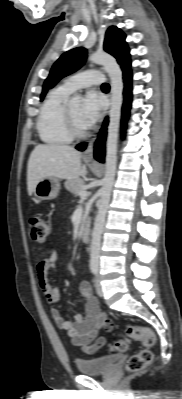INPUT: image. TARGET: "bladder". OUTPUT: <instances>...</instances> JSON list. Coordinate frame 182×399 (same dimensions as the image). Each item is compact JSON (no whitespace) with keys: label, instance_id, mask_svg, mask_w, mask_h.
Segmentation results:
<instances>
[{"label":"bladder","instance_id":"31cf9c89","mask_svg":"<svg viewBox=\"0 0 182 399\" xmlns=\"http://www.w3.org/2000/svg\"><path fill=\"white\" fill-rule=\"evenodd\" d=\"M122 358V355H108L90 359H77L76 367L82 375H103Z\"/></svg>","mask_w":182,"mask_h":399}]
</instances>
